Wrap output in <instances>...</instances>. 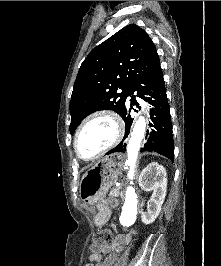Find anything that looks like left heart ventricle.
Returning <instances> with one entry per match:
<instances>
[{"instance_id":"obj_1","label":"left heart ventricle","mask_w":221,"mask_h":266,"mask_svg":"<svg viewBox=\"0 0 221 266\" xmlns=\"http://www.w3.org/2000/svg\"><path fill=\"white\" fill-rule=\"evenodd\" d=\"M116 134L113 121L105 116L96 117L83 129L78 140L81 154L91 157L106 147Z\"/></svg>"}]
</instances>
